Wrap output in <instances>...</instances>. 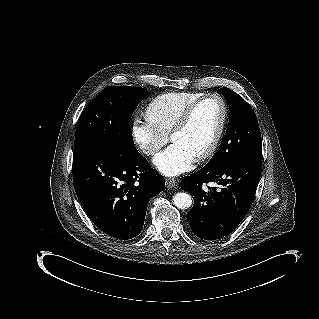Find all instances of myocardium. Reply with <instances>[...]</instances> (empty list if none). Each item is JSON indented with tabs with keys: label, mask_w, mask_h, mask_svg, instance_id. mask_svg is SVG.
I'll use <instances>...</instances> for the list:
<instances>
[{
	"label": "myocardium",
	"mask_w": 319,
	"mask_h": 319,
	"mask_svg": "<svg viewBox=\"0 0 319 319\" xmlns=\"http://www.w3.org/2000/svg\"><path fill=\"white\" fill-rule=\"evenodd\" d=\"M211 100L218 104L219 117H218V122H217L215 132L211 140L209 141V143L206 145L205 148L195 153L196 158H198L199 160H202L206 158L207 156H209L216 149L222 137V133H223L225 121H226V106L221 96L217 94H210L199 99L181 115V117L178 119V121L174 125L172 129V133H171V138H174L175 134L179 132L188 122L193 111L204 102L211 101Z\"/></svg>",
	"instance_id": "obj_1"
}]
</instances>
